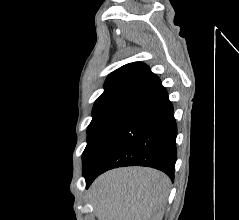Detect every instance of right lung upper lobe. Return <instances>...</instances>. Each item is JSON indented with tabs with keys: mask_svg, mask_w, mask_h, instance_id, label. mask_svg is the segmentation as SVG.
Here are the masks:
<instances>
[{
	"mask_svg": "<svg viewBox=\"0 0 239 220\" xmlns=\"http://www.w3.org/2000/svg\"><path fill=\"white\" fill-rule=\"evenodd\" d=\"M160 85V79L146 64H126L107 77L105 91L96 100L92 115L121 106H132Z\"/></svg>",
	"mask_w": 239,
	"mask_h": 220,
	"instance_id": "cb5924a9",
	"label": "right lung upper lobe"
}]
</instances>
